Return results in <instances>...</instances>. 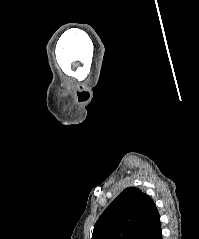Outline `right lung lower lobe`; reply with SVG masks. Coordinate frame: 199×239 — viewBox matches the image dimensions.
I'll list each match as a JSON object with an SVG mask.
<instances>
[{
    "label": "right lung lower lobe",
    "mask_w": 199,
    "mask_h": 239,
    "mask_svg": "<svg viewBox=\"0 0 199 239\" xmlns=\"http://www.w3.org/2000/svg\"><path fill=\"white\" fill-rule=\"evenodd\" d=\"M141 239H162L160 220Z\"/></svg>",
    "instance_id": "98d812e1"
}]
</instances>
